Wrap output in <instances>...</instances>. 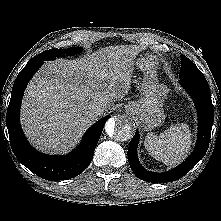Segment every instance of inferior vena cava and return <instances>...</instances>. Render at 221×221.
I'll use <instances>...</instances> for the list:
<instances>
[{"mask_svg": "<svg viewBox=\"0 0 221 221\" xmlns=\"http://www.w3.org/2000/svg\"><path fill=\"white\" fill-rule=\"evenodd\" d=\"M92 113L95 116H100L103 113V109L101 106H96L95 108L92 109Z\"/></svg>", "mask_w": 221, "mask_h": 221, "instance_id": "1", "label": "inferior vena cava"}]
</instances>
